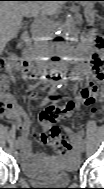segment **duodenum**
Returning <instances> with one entry per match:
<instances>
[{
	"label": "duodenum",
	"mask_w": 104,
	"mask_h": 189,
	"mask_svg": "<svg viewBox=\"0 0 104 189\" xmlns=\"http://www.w3.org/2000/svg\"><path fill=\"white\" fill-rule=\"evenodd\" d=\"M24 54H25V63L28 68L33 72L34 75H40V70L34 65V60L36 59V53L32 48L29 36L25 33L22 37ZM74 55L78 57V59L85 60L88 58L86 50L83 47H77L75 49Z\"/></svg>",
	"instance_id": "410a0bca"
}]
</instances>
